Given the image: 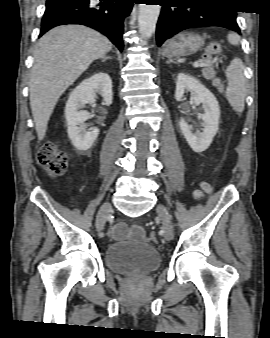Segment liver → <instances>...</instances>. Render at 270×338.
Wrapping results in <instances>:
<instances>
[{
  "mask_svg": "<svg viewBox=\"0 0 270 338\" xmlns=\"http://www.w3.org/2000/svg\"><path fill=\"white\" fill-rule=\"evenodd\" d=\"M111 48L105 36L82 25L56 27L39 40L29 84L30 106L39 141L45 137L60 96L94 60L103 58Z\"/></svg>",
  "mask_w": 270,
  "mask_h": 338,
  "instance_id": "liver-1",
  "label": "liver"
}]
</instances>
